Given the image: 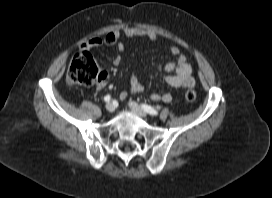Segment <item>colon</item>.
<instances>
[{"label": "colon", "mask_w": 272, "mask_h": 198, "mask_svg": "<svg viewBox=\"0 0 272 198\" xmlns=\"http://www.w3.org/2000/svg\"><path fill=\"white\" fill-rule=\"evenodd\" d=\"M102 76V69L93 56L88 51L82 50L73 56L67 70L66 80L71 86H90L99 81ZM196 98V92L193 90L185 93V99L188 102H194Z\"/></svg>", "instance_id": "obj_1"}]
</instances>
